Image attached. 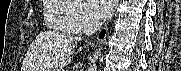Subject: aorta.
<instances>
[{
    "label": "aorta",
    "instance_id": "aorta-1",
    "mask_svg": "<svg viewBox=\"0 0 181 71\" xmlns=\"http://www.w3.org/2000/svg\"><path fill=\"white\" fill-rule=\"evenodd\" d=\"M89 71H97V66H92L91 68H89Z\"/></svg>",
    "mask_w": 181,
    "mask_h": 71
}]
</instances>
